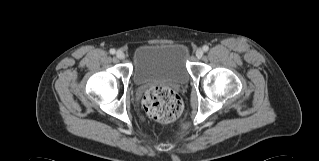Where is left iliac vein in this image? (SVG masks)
Masks as SVG:
<instances>
[{
    "instance_id": "obj_1",
    "label": "left iliac vein",
    "mask_w": 319,
    "mask_h": 161,
    "mask_svg": "<svg viewBox=\"0 0 319 161\" xmlns=\"http://www.w3.org/2000/svg\"><path fill=\"white\" fill-rule=\"evenodd\" d=\"M203 50L201 48L196 50V57L201 58L203 56Z\"/></svg>"
}]
</instances>
